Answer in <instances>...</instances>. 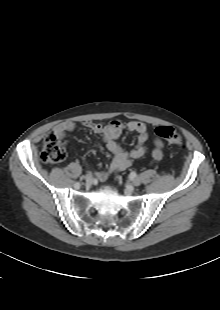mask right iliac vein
Returning <instances> with one entry per match:
<instances>
[{
    "mask_svg": "<svg viewBox=\"0 0 220 310\" xmlns=\"http://www.w3.org/2000/svg\"><path fill=\"white\" fill-rule=\"evenodd\" d=\"M85 182H86L87 185H91L92 184L93 177H92L91 174H88V175L85 176Z\"/></svg>",
    "mask_w": 220,
    "mask_h": 310,
    "instance_id": "obj_1",
    "label": "right iliac vein"
}]
</instances>
